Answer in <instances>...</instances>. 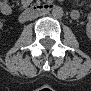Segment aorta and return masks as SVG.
<instances>
[{
  "mask_svg": "<svg viewBox=\"0 0 91 91\" xmlns=\"http://www.w3.org/2000/svg\"><path fill=\"white\" fill-rule=\"evenodd\" d=\"M52 16L54 18H57V19L58 18H62V16H63V9L61 7H59V6L54 7L53 10H52Z\"/></svg>",
  "mask_w": 91,
  "mask_h": 91,
  "instance_id": "aorta-1",
  "label": "aorta"
}]
</instances>
